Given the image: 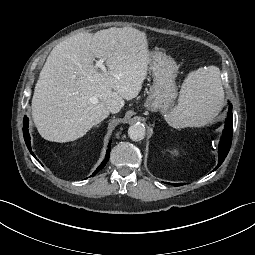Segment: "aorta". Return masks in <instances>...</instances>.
I'll use <instances>...</instances> for the list:
<instances>
[{
    "label": "aorta",
    "mask_w": 255,
    "mask_h": 255,
    "mask_svg": "<svg viewBox=\"0 0 255 255\" xmlns=\"http://www.w3.org/2000/svg\"><path fill=\"white\" fill-rule=\"evenodd\" d=\"M146 133V129L143 124L136 123L129 127L128 129V135L130 139L134 141H138L144 138Z\"/></svg>",
    "instance_id": "aorta-1"
}]
</instances>
